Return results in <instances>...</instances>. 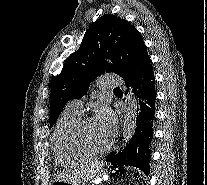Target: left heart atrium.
I'll return each instance as SVG.
<instances>
[{
    "label": "left heart atrium",
    "instance_id": "39dd6f15",
    "mask_svg": "<svg viewBox=\"0 0 207 185\" xmlns=\"http://www.w3.org/2000/svg\"><path fill=\"white\" fill-rule=\"evenodd\" d=\"M95 124L112 137L117 129V120L113 111L107 106L100 107L94 118Z\"/></svg>",
    "mask_w": 207,
    "mask_h": 185
}]
</instances>
